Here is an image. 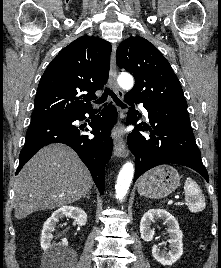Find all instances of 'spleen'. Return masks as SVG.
<instances>
[{
	"instance_id": "spleen-1",
	"label": "spleen",
	"mask_w": 221,
	"mask_h": 268,
	"mask_svg": "<svg viewBox=\"0 0 221 268\" xmlns=\"http://www.w3.org/2000/svg\"><path fill=\"white\" fill-rule=\"evenodd\" d=\"M186 203L191 212L197 213L202 211L205 206V198L199 185L191 178H187L184 184Z\"/></svg>"
}]
</instances>
